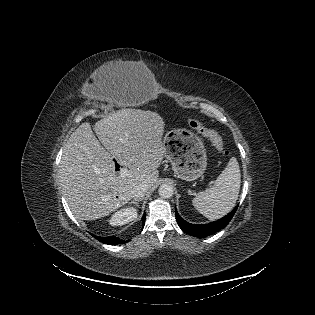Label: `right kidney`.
Here are the masks:
<instances>
[{
  "mask_svg": "<svg viewBox=\"0 0 315 315\" xmlns=\"http://www.w3.org/2000/svg\"><path fill=\"white\" fill-rule=\"evenodd\" d=\"M137 209L135 208H124L117 212H115L110 220L109 223L112 226H122L125 225L137 218Z\"/></svg>",
  "mask_w": 315,
  "mask_h": 315,
  "instance_id": "1",
  "label": "right kidney"
}]
</instances>
